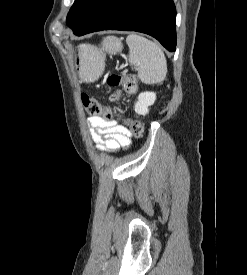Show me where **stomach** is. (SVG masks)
<instances>
[{
	"instance_id": "1",
	"label": "stomach",
	"mask_w": 247,
	"mask_h": 275,
	"mask_svg": "<svg viewBox=\"0 0 247 275\" xmlns=\"http://www.w3.org/2000/svg\"><path fill=\"white\" fill-rule=\"evenodd\" d=\"M108 39V38H107ZM110 47L97 49L90 45H84L79 50L78 73L82 81L90 82L98 79L105 67L104 50L116 53L122 50V43L115 37H109Z\"/></svg>"
}]
</instances>
